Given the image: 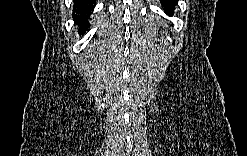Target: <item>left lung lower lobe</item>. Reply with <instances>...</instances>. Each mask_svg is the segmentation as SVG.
<instances>
[{
	"label": "left lung lower lobe",
	"mask_w": 247,
	"mask_h": 156,
	"mask_svg": "<svg viewBox=\"0 0 247 156\" xmlns=\"http://www.w3.org/2000/svg\"><path fill=\"white\" fill-rule=\"evenodd\" d=\"M161 2L165 6L164 7L165 13L168 15H172L174 7L177 4V1L176 0H161Z\"/></svg>",
	"instance_id": "obj_1"
}]
</instances>
